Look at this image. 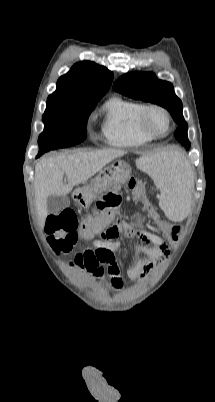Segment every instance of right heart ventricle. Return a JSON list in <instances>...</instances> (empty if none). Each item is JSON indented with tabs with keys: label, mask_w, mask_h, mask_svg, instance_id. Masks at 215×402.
<instances>
[{
	"label": "right heart ventricle",
	"mask_w": 215,
	"mask_h": 402,
	"mask_svg": "<svg viewBox=\"0 0 215 402\" xmlns=\"http://www.w3.org/2000/svg\"><path fill=\"white\" fill-rule=\"evenodd\" d=\"M144 105L136 101L115 96L102 107L101 132L104 141L113 147L133 148L145 145L153 138L139 128V113Z\"/></svg>",
	"instance_id": "obj_1"
}]
</instances>
